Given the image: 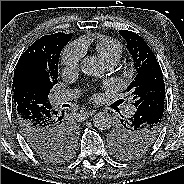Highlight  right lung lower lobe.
<instances>
[{"mask_svg":"<svg viewBox=\"0 0 184 184\" xmlns=\"http://www.w3.org/2000/svg\"><path fill=\"white\" fill-rule=\"evenodd\" d=\"M16 120L30 148L38 153L49 150L62 141L68 122L62 114L52 110L49 102L43 104H15Z\"/></svg>","mask_w":184,"mask_h":184,"instance_id":"right-lung-lower-lobe-1","label":"right lung lower lobe"}]
</instances>
